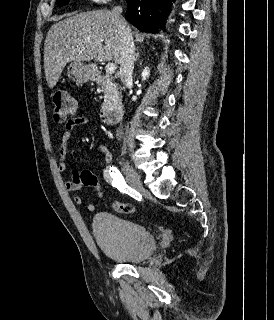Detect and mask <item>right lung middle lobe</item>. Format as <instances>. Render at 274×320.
Returning <instances> with one entry per match:
<instances>
[{"label": "right lung middle lobe", "instance_id": "dd1d6c3e", "mask_svg": "<svg viewBox=\"0 0 274 320\" xmlns=\"http://www.w3.org/2000/svg\"><path fill=\"white\" fill-rule=\"evenodd\" d=\"M68 2H69V0H57V5L59 7H61V6L65 5V4H67Z\"/></svg>", "mask_w": 274, "mask_h": 320}]
</instances>
